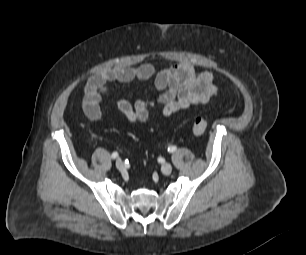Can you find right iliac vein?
<instances>
[{
  "mask_svg": "<svg viewBox=\"0 0 306 255\" xmlns=\"http://www.w3.org/2000/svg\"><path fill=\"white\" fill-rule=\"evenodd\" d=\"M116 168L120 171L124 170L125 164L121 159L116 160Z\"/></svg>",
  "mask_w": 306,
  "mask_h": 255,
  "instance_id": "1",
  "label": "right iliac vein"
}]
</instances>
